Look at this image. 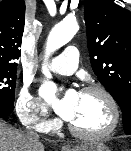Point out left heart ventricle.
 Returning a JSON list of instances; mask_svg holds the SVG:
<instances>
[{
  "label": "left heart ventricle",
  "instance_id": "left-heart-ventricle-1",
  "mask_svg": "<svg viewBox=\"0 0 131 151\" xmlns=\"http://www.w3.org/2000/svg\"><path fill=\"white\" fill-rule=\"evenodd\" d=\"M111 121V111L106 100L98 94H79L75 113L70 123L85 132H98Z\"/></svg>",
  "mask_w": 131,
  "mask_h": 151
}]
</instances>
